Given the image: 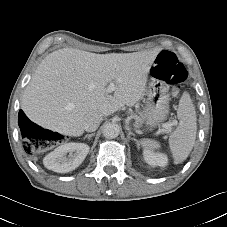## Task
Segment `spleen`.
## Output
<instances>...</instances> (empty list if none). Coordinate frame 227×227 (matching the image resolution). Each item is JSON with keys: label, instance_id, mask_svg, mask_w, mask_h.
I'll return each instance as SVG.
<instances>
[{"label": "spleen", "instance_id": "3e777b00", "mask_svg": "<svg viewBox=\"0 0 227 227\" xmlns=\"http://www.w3.org/2000/svg\"><path fill=\"white\" fill-rule=\"evenodd\" d=\"M179 124L176 130L170 135L169 147L172 152L174 163L183 162L190 154L196 139L197 118L195 107L190 95L184 92L177 110ZM146 150L160 148V144L150 139H142L138 142Z\"/></svg>", "mask_w": 227, "mask_h": 227}]
</instances>
